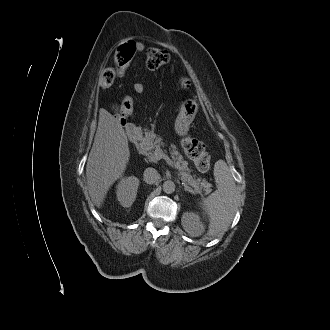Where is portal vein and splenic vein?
<instances>
[{
  "label": "portal vein and splenic vein",
  "instance_id": "1",
  "mask_svg": "<svg viewBox=\"0 0 330 330\" xmlns=\"http://www.w3.org/2000/svg\"><path fill=\"white\" fill-rule=\"evenodd\" d=\"M162 158L165 159L167 164L170 165L171 167H176V165L173 163V161L165 153H163V151L160 148L156 149L155 150V159L158 161Z\"/></svg>",
  "mask_w": 330,
  "mask_h": 330
}]
</instances>
